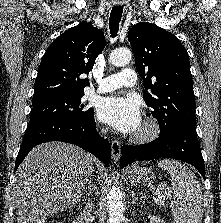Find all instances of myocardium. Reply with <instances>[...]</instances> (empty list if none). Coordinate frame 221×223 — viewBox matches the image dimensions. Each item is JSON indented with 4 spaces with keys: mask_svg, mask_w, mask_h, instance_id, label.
I'll list each match as a JSON object with an SVG mask.
<instances>
[{
    "mask_svg": "<svg viewBox=\"0 0 221 223\" xmlns=\"http://www.w3.org/2000/svg\"><path fill=\"white\" fill-rule=\"evenodd\" d=\"M160 133V124L158 120L152 116L144 119L140 129L133 136V141L137 143H147L154 140Z\"/></svg>",
    "mask_w": 221,
    "mask_h": 223,
    "instance_id": "obj_1",
    "label": "myocardium"
}]
</instances>
